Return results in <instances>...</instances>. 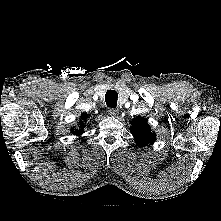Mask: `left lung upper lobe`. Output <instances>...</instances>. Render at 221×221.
I'll list each match as a JSON object with an SVG mask.
<instances>
[{"label":"left lung upper lobe","mask_w":221,"mask_h":221,"mask_svg":"<svg viewBox=\"0 0 221 221\" xmlns=\"http://www.w3.org/2000/svg\"><path fill=\"white\" fill-rule=\"evenodd\" d=\"M131 124V134L134 136L137 145L147 146L154 143L156 135L151 131L147 120L142 117H136Z\"/></svg>","instance_id":"1"}]
</instances>
